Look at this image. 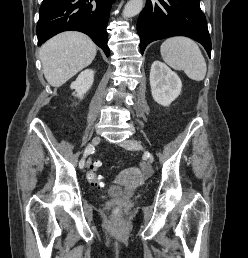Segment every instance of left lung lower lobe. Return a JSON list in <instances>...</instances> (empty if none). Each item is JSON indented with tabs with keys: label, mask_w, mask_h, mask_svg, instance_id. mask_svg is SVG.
<instances>
[{
	"label": "left lung lower lobe",
	"mask_w": 248,
	"mask_h": 258,
	"mask_svg": "<svg viewBox=\"0 0 248 258\" xmlns=\"http://www.w3.org/2000/svg\"><path fill=\"white\" fill-rule=\"evenodd\" d=\"M137 32L142 54L149 43L171 36L190 37L211 54V39L199 0H147L137 22Z\"/></svg>",
	"instance_id": "obj_1"
}]
</instances>
